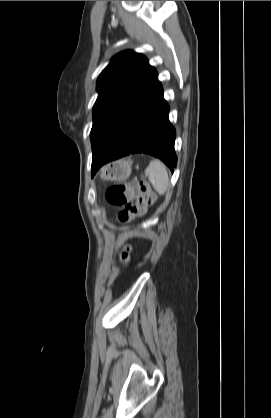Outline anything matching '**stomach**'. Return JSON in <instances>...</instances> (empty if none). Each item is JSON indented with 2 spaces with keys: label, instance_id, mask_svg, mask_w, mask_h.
<instances>
[{
  "label": "stomach",
  "instance_id": "stomach-1",
  "mask_svg": "<svg viewBox=\"0 0 271 418\" xmlns=\"http://www.w3.org/2000/svg\"><path fill=\"white\" fill-rule=\"evenodd\" d=\"M131 174V163L126 160L114 161L100 170V177L104 181H125Z\"/></svg>",
  "mask_w": 271,
  "mask_h": 418
}]
</instances>
